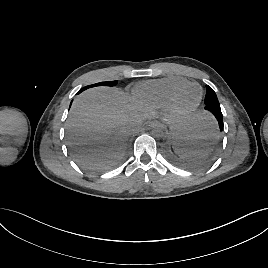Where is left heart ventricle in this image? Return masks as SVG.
<instances>
[{
	"label": "left heart ventricle",
	"instance_id": "left-heart-ventricle-1",
	"mask_svg": "<svg viewBox=\"0 0 268 268\" xmlns=\"http://www.w3.org/2000/svg\"><path fill=\"white\" fill-rule=\"evenodd\" d=\"M199 98V89L197 87L188 88L179 98V105L182 108L193 106Z\"/></svg>",
	"mask_w": 268,
	"mask_h": 268
}]
</instances>
